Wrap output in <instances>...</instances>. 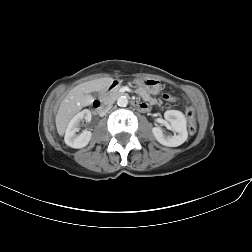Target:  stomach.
<instances>
[{"mask_svg": "<svg viewBox=\"0 0 252 252\" xmlns=\"http://www.w3.org/2000/svg\"><path fill=\"white\" fill-rule=\"evenodd\" d=\"M137 83L139 87L144 89L149 94H153V95H157L162 88L160 81L155 78L139 79L137 80Z\"/></svg>", "mask_w": 252, "mask_h": 252, "instance_id": "stomach-1", "label": "stomach"}]
</instances>
